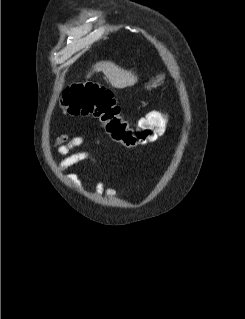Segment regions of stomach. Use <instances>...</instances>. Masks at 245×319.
Listing matches in <instances>:
<instances>
[{"label": "stomach", "mask_w": 245, "mask_h": 319, "mask_svg": "<svg viewBox=\"0 0 245 319\" xmlns=\"http://www.w3.org/2000/svg\"><path fill=\"white\" fill-rule=\"evenodd\" d=\"M165 74L158 73L155 76L151 77L148 82L144 84L145 89L151 90L152 88H156L164 82Z\"/></svg>", "instance_id": "obj_1"}]
</instances>
